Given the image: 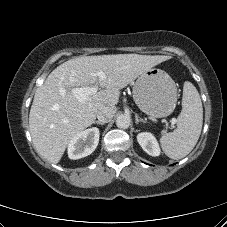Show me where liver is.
Masks as SVG:
<instances>
[{"instance_id": "6515ba94", "label": "liver", "mask_w": 227, "mask_h": 227, "mask_svg": "<svg viewBox=\"0 0 227 227\" xmlns=\"http://www.w3.org/2000/svg\"><path fill=\"white\" fill-rule=\"evenodd\" d=\"M169 59L162 55L81 56L55 68L35 92L29 114L33 144L41 156L58 163L70 140L89 127L102 106H115L120 90L147 70ZM104 72L100 80L97 73ZM98 84L100 91L80 102L74 88Z\"/></svg>"}]
</instances>
